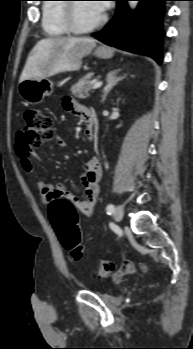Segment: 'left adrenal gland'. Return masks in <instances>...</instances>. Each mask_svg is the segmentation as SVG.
<instances>
[{"mask_svg": "<svg viewBox=\"0 0 193 349\" xmlns=\"http://www.w3.org/2000/svg\"><path fill=\"white\" fill-rule=\"evenodd\" d=\"M121 69L111 71L107 76V84L103 89L102 102L105 101L107 94L112 90V88L118 84L119 81L123 80L127 75L117 77V74Z\"/></svg>", "mask_w": 193, "mask_h": 349, "instance_id": "a2214340", "label": "left adrenal gland"}]
</instances>
